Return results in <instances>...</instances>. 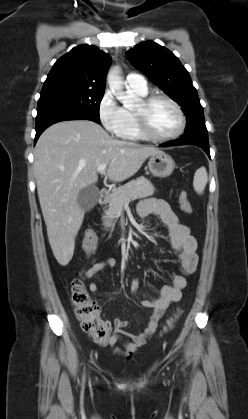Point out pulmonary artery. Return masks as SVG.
Returning <instances> with one entry per match:
<instances>
[{
  "mask_svg": "<svg viewBox=\"0 0 248 419\" xmlns=\"http://www.w3.org/2000/svg\"><path fill=\"white\" fill-rule=\"evenodd\" d=\"M126 84L129 88L138 90V91H146L147 90V83L145 78L138 74V73H130L126 76Z\"/></svg>",
  "mask_w": 248,
  "mask_h": 419,
  "instance_id": "e3ab8cb5",
  "label": "pulmonary artery"
}]
</instances>
